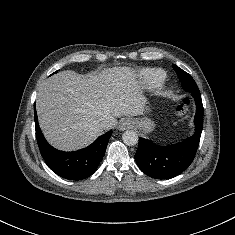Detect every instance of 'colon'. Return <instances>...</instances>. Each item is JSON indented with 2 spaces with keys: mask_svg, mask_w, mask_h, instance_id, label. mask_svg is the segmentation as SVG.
<instances>
[{
  "mask_svg": "<svg viewBox=\"0 0 235 235\" xmlns=\"http://www.w3.org/2000/svg\"><path fill=\"white\" fill-rule=\"evenodd\" d=\"M188 109V101L187 100H184L183 102H181L180 104H178L176 106V111L179 113V114H184Z\"/></svg>",
  "mask_w": 235,
  "mask_h": 235,
  "instance_id": "obj_1",
  "label": "colon"
}]
</instances>
